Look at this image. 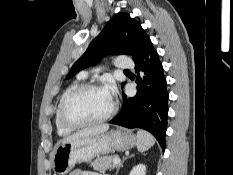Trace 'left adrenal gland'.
I'll use <instances>...</instances> for the list:
<instances>
[{
	"instance_id": "left-adrenal-gland-1",
	"label": "left adrenal gland",
	"mask_w": 233,
	"mask_h": 175,
	"mask_svg": "<svg viewBox=\"0 0 233 175\" xmlns=\"http://www.w3.org/2000/svg\"><path fill=\"white\" fill-rule=\"evenodd\" d=\"M134 156H135V154H132V155H130L128 158H132V157H134ZM125 160H127V158H124V159L122 160V162L117 166L115 175H118L119 169L123 166V163L125 162Z\"/></svg>"
}]
</instances>
